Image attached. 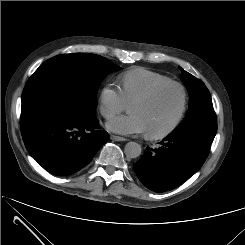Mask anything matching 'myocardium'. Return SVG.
<instances>
[{
  "instance_id": "obj_1",
  "label": "myocardium",
  "mask_w": 245,
  "mask_h": 245,
  "mask_svg": "<svg viewBox=\"0 0 245 245\" xmlns=\"http://www.w3.org/2000/svg\"><path fill=\"white\" fill-rule=\"evenodd\" d=\"M169 87L177 88L181 93L182 101H181V106H180V109L178 111V114H177L176 118L174 119V121L167 128H165L159 132H147L146 131L145 135L148 139L158 140V139L165 138V137L169 136L170 134H172L178 128V126L180 125V123L182 122V120L185 116V113L187 111V106H188V94H187L185 87L182 84L175 82V81L159 83V84L151 87L144 94L134 98L133 100H131L129 102V105L132 103L148 102V101L152 100L159 92H161L162 90L169 88Z\"/></svg>"
}]
</instances>
